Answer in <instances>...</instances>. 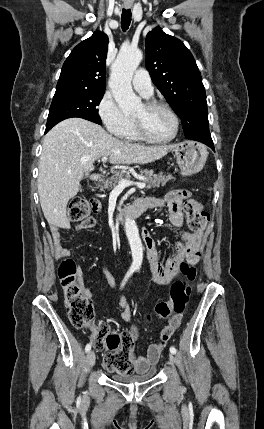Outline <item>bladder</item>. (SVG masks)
Instances as JSON below:
<instances>
[{"instance_id": "1", "label": "bladder", "mask_w": 264, "mask_h": 429, "mask_svg": "<svg viewBox=\"0 0 264 429\" xmlns=\"http://www.w3.org/2000/svg\"><path fill=\"white\" fill-rule=\"evenodd\" d=\"M156 375V368H150L147 372L141 374H132L126 376L115 375L113 380L121 384H134L150 381Z\"/></svg>"}]
</instances>
